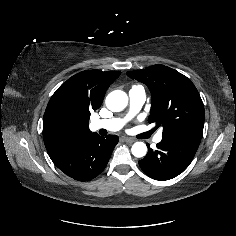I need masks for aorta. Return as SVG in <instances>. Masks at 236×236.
<instances>
[{"label":"aorta","mask_w":236,"mask_h":236,"mask_svg":"<svg viewBox=\"0 0 236 236\" xmlns=\"http://www.w3.org/2000/svg\"><path fill=\"white\" fill-rule=\"evenodd\" d=\"M128 104V96L121 90L110 92L106 97V106L113 112L125 109ZM132 154L137 158H142L147 154V146L143 142H135L131 148Z\"/></svg>","instance_id":"1"}]
</instances>
